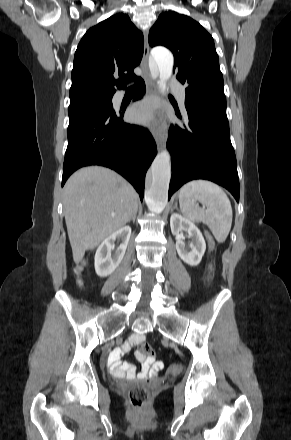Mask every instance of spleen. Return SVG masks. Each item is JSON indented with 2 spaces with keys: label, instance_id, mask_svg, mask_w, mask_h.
I'll return each mask as SVG.
<instances>
[{
  "label": "spleen",
  "instance_id": "3e777b00",
  "mask_svg": "<svg viewBox=\"0 0 291 440\" xmlns=\"http://www.w3.org/2000/svg\"><path fill=\"white\" fill-rule=\"evenodd\" d=\"M179 205L186 218L204 223L219 243L225 242L232 225V207L221 187L202 179L190 181L180 190Z\"/></svg>",
  "mask_w": 291,
  "mask_h": 440
}]
</instances>
